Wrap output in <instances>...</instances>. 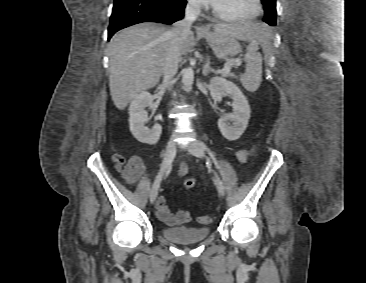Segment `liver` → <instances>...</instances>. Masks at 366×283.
<instances>
[{
    "label": "liver",
    "mask_w": 366,
    "mask_h": 283,
    "mask_svg": "<svg viewBox=\"0 0 366 283\" xmlns=\"http://www.w3.org/2000/svg\"><path fill=\"white\" fill-rule=\"evenodd\" d=\"M241 41L265 42L269 28L251 22L220 23L213 27ZM171 29L159 23L145 22L116 33L108 44L110 56L109 87L114 105L122 110L140 92L155 87L163 73ZM194 40L190 32L182 45L186 54Z\"/></svg>",
    "instance_id": "6515ba94"
}]
</instances>
